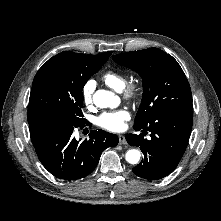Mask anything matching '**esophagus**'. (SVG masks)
Returning a JSON list of instances; mask_svg holds the SVG:
<instances>
[{
	"instance_id": "1",
	"label": "esophagus",
	"mask_w": 221,
	"mask_h": 221,
	"mask_svg": "<svg viewBox=\"0 0 221 221\" xmlns=\"http://www.w3.org/2000/svg\"><path fill=\"white\" fill-rule=\"evenodd\" d=\"M126 143L127 142H126L125 136L124 135H119V144L124 145Z\"/></svg>"
}]
</instances>
